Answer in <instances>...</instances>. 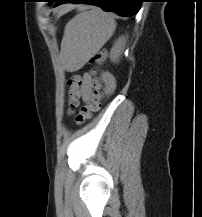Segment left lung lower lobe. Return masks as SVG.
Instances as JSON below:
<instances>
[{"label":"left lung lower lobe","mask_w":202,"mask_h":217,"mask_svg":"<svg viewBox=\"0 0 202 217\" xmlns=\"http://www.w3.org/2000/svg\"><path fill=\"white\" fill-rule=\"evenodd\" d=\"M55 7L67 2L86 3L101 7L108 12H114L120 16L129 17L138 13L142 0H54Z\"/></svg>","instance_id":"obj_1"}]
</instances>
